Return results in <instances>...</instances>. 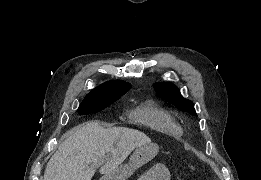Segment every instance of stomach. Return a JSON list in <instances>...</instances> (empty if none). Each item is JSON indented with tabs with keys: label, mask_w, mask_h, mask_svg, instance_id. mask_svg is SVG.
<instances>
[{
	"label": "stomach",
	"mask_w": 261,
	"mask_h": 180,
	"mask_svg": "<svg viewBox=\"0 0 261 180\" xmlns=\"http://www.w3.org/2000/svg\"><path fill=\"white\" fill-rule=\"evenodd\" d=\"M159 152V146L148 143L138 147L132 154L128 164L120 165L111 173L101 177L100 180H127L136 169L151 161Z\"/></svg>",
	"instance_id": "0dacf381"
}]
</instances>
